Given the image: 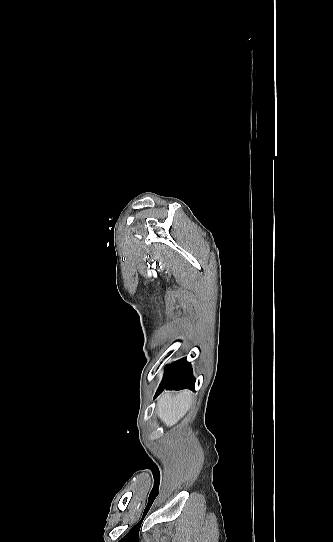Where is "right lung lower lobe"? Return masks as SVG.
I'll return each mask as SVG.
<instances>
[{"mask_svg":"<svg viewBox=\"0 0 333 542\" xmlns=\"http://www.w3.org/2000/svg\"><path fill=\"white\" fill-rule=\"evenodd\" d=\"M194 387L195 379L192 375L191 364L186 361V358H183L168 366L156 396L164 389L181 390L188 388L194 390Z\"/></svg>","mask_w":333,"mask_h":542,"instance_id":"right-lung-lower-lobe-1","label":"right lung lower lobe"}]
</instances>
